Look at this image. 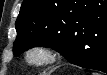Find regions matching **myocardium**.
I'll return each instance as SVG.
<instances>
[{
  "instance_id": "f54148a6",
  "label": "myocardium",
  "mask_w": 107,
  "mask_h": 75,
  "mask_svg": "<svg viewBox=\"0 0 107 75\" xmlns=\"http://www.w3.org/2000/svg\"><path fill=\"white\" fill-rule=\"evenodd\" d=\"M59 59V53L51 46L35 44L24 52L25 62L32 67H43L55 63Z\"/></svg>"
}]
</instances>
